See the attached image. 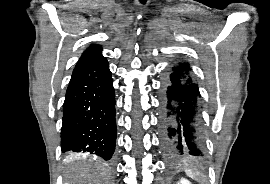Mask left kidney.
I'll return each mask as SVG.
<instances>
[{
	"instance_id": "1",
	"label": "left kidney",
	"mask_w": 270,
	"mask_h": 184,
	"mask_svg": "<svg viewBox=\"0 0 270 184\" xmlns=\"http://www.w3.org/2000/svg\"><path fill=\"white\" fill-rule=\"evenodd\" d=\"M177 184H191L187 179L182 178Z\"/></svg>"
}]
</instances>
